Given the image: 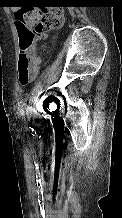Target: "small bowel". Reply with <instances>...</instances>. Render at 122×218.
<instances>
[{"instance_id": "c3829d8e", "label": "small bowel", "mask_w": 122, "mask_h": 218, "mask_svg": "<svg viewBox=\"0 0 122 218\" xmlns=\"http://www.w3.org/2000/svg\"><path fill=\"white\" fill-rule=\"evenodd\" d=\"M40 60L39 59H37V62H39ZM37 68H38V64H37Z\"/></svg>"}]
</instances>
